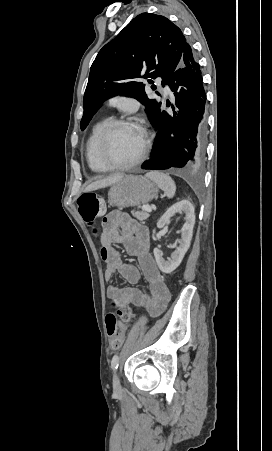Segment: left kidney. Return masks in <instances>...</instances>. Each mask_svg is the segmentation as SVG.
I'll return each mask as SVG.
<instances>
[{"mask_svg": "<svg viewBox=\"0 0 272 451\" xmlns=\"http://www.w3.org/2000/svg\"><path fill=\"white\" fill-rule=\"evenodd\" d=\"M182 212H184L186 216L184 218L185 224L181 227L182 239L180 245L174 249L173 253H171L170 257H167V259L162 257L163 253L158 247H154L153 249L158 267L161 271H164V273H171V271H174V269L180 265L187 249H189L195 224L194 206L189 200H181V202H177V204H173L171 208H168L167 212H165L162 218L157 222V227H164L166 224H169L170 218H172L174 214H182Z\"/></svg>", "mask_w": 272, "mask_h": 451, "instance_id": "1", "label": "left kidney"}]
</instances>
